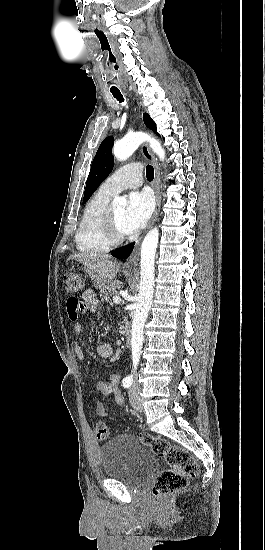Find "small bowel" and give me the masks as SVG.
<instances>
[{
	"label": "small bowel",
	"mask_w": 265,
	"mask_h": 550,
	"mask_svg": "<svg viewBox=\"0 0 265 550\" xmlns=\"http://www.w3.org/2000/svg\"><path fill=\"white\" fill-rule=\"evenodd\" d=\"M74 299L68 301L72 302ZM83 308L80 312H94L98 307V298L95 292L92 289L86 290L82 295ZM67 310L70 315L74 314V310L67 305ZM82 332V326L79 323H76L73 327V333L75 338H77ZM95 353L100 358H110L113 355V348L109 343H99L95 347ZM74 354L81 360L85 361L86 357L77 343L74 344ZM120 380V375L118 372L111 373L107 379L100 380L95 383V388L100 391L105 396L113 395L114 402L122 406L123 405V396L118 389V384ZM95 411L98 416H106L108 414L104 405L101 402L95 403Z\"/></svg>",
	"instance_id": "small-bowel-1"
}]
</instances>
